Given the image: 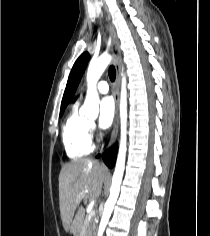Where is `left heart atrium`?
Here are the masks:
<instances>
[{"instance_id":"obj_1","label":"left heart atrium","mask_w":210,"mask_h":236,"mask_svg":"<svg viewBox=\"0 0 210 236\" xmlns=\"http://www.w3.org/2000/svg\"><path fill=\"white\" fill-rule=\"evenodd\" d=\"M115 106L111 97H105L100 103L99 126L103 129L108 128L114 119Z\"/></svg>"}]
</instances>
